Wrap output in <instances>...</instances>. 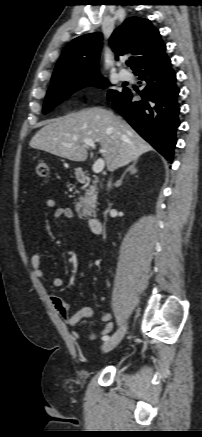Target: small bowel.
<instances>
[{
  "mask_svg": "<svg viewBox=\"0 0 202 437\" xmlns=\"http://www.w3.org/2000/svg\"><path fill=\"white\" fill-rule=\"evenodd\" d=\"M46 206L50 209H54V218L57 220L71 219L74 217V212L71 208L58 207L56 200L53 198H49L46 200ZM31 267L33 274L36 278H44L45 274L42 269V259L40 254L34 253L32 255ZM53 285L56 288L61 287L63 285L62 278L58 276L55 277L53 279ZM49 299L55 312L65 321L67 326L71 328H75L81 319H91L93 317V310L90 307H82L76 312L71 313L68 304L59 296L55 294H50ZM101 319L104 324L102 329L100 330V334L105 336L109 334L113 329L112 314L108 311H105L102 313ZM71 335L73 338L76 339L80 337V333L77 330H73L71 332ZM96 336V333H91L89 335V338L94 339Z\"/></svg>",
  "mask_w": 202,
  "mask_h": 437,
  "instance_id": "obj_1",
  "label": "small bowel"
}]
</instances>
